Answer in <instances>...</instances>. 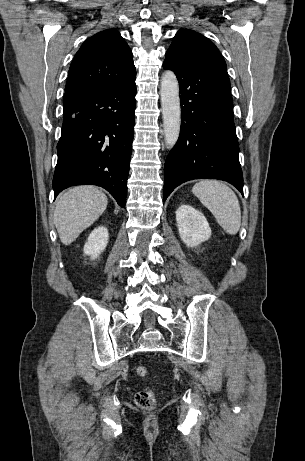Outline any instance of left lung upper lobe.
I'll return each instance as SVG.
<instances>
[{
    "instance_id": "1",
    "label": "left lung upper lobe",
    "mask_w": 305,
    "mask_h": 461,
    "mask_svg": "<svg viewBox=\"0 0 305 461\" xmlns=\"http://www.w3.org/2000/svg\"><path fill=\"white\" fill-rule=\"evenodd\" d=\"M174 64L186 67L224 66L226 63L218 48L205 36L192 30L177 32L166 59Z\"/></svg>"
}]
</instances>
